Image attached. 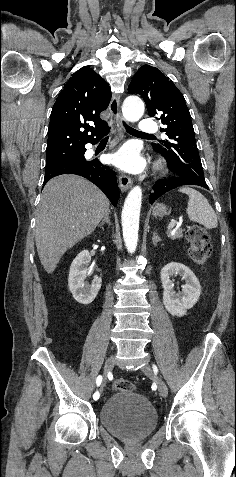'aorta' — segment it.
<instances>
[{"instance_id": "1", "label": "aorta", "mask_w": 236, "mask_h": 477, "mask_svg": "<svg viewBox=\"0 0 236 477\" xmlns=\"http://www.w3.org/2000/svg\"><path fill=\"white\" fill-rule=\"evenodd\" d=\"M144 110V103L137 96H128L122 105L123 116L130 122H137L143 116ZM141 203L142 189L135 186L125 199L121 216L125 246L131 254L137 248Z\"/></svg>"}]
</instances>
